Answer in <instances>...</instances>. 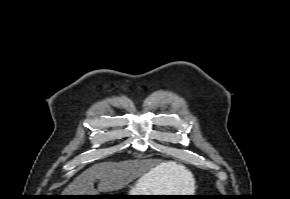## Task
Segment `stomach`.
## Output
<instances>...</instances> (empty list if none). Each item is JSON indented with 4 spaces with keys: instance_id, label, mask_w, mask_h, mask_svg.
<instances>
[{
    "instance_id": "0dacf381",
    "label": "stomach",
    "mask_w": 290,
    "mask_h": 199,
    "mask_svg": "<svg viewBox=\"0 0 290 199\" xmlns=\"http://www.w3.org/2000/svg\"><path fill=\"white\" fill-rule=\"evenodd\" d=\"M158 169L155 168L142 176L130 189L127 195H173L168 194L164 182L157 175ZM130 199H143L144 196H130Z\"/></svg>"
}]
</instances>
